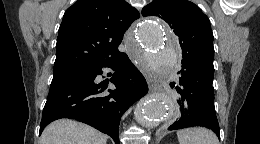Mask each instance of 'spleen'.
Here are the masks:
<instances>
[{"mask_svg":"<svg viewBox=\"0 0 260 144\" xmlns=\"http://www.w3.org/2000/svg\"><path fill=\"white\" fill-rule=\"evenodd\" d=\"M179 144H219L216 135L205 128H188L177 132Z\"/></svg>","mask_w":260,"mask_h":144,"instance_id":"3e777b00","label":"spleen"}]
</instances>
